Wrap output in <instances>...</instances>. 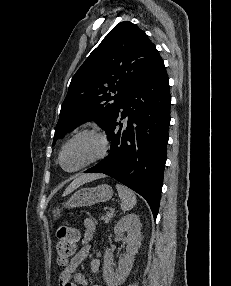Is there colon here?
Returning a JSON list of instances; mask_svg holds the SVG:
<instances>
[{
  "mask_svg": "<svg viewBox=\"0 0 231 286\" xmlns=\"http://www.w3.org/2000/svg\"><path fill=\"white\" fill-rule=\"evenodd\" d=\"M79 237L78 229L69 223H64L58 228L56 252L60 266H66L75 254Z\"/></svg>",
  "mask_w": 231,
  "mask_h": 286,
  "instance_id": "1",
  "label": "colon"
}]
</instances>
